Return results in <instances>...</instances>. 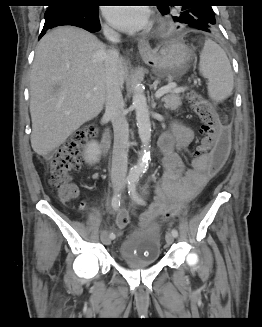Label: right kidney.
I'll use <instances>...</instances> for the list:
<instances>
[{
	"label": "right kidney",
	"mask_w": 262,
	"mask_h": 327,
	"mask_svg": "<svg viewBox=\"0 0 262 327\" xmlns=\"http://www.w3.org/2000/svg\"><path fill=\"white\" fill-rule=\"evenodd\" d=\"M99 155H100V148L97 142L92 141L90 142L85 151V160L89 164H95L99 161Z\"/></svg>",
	"instance_id": "obj_1"
}]
</instances>
